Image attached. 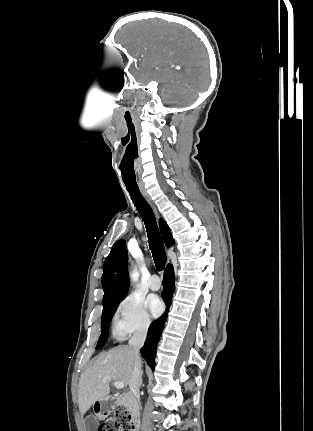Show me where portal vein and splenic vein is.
<instances>
[{"mask_svg": "<svg viewBox=\"0 0 313 431\" xmlns=\"http://www.w3.org/2000/svg\"><path fill=\"white\" fill-rule=\"evenodd\" d=\"M114 386L116 389H122V388H124V383L121 381H116V382H114Z\"/></svg>", "mask_w": 313, "mask_h": 431, "instance_id": "obj_1", "label": "portal vein and splenic vein"}]
</instances>
